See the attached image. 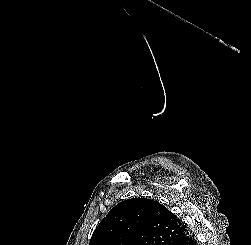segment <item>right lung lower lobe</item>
Masks as SVG:
<instances>
[{
	"label": "right lung lower lobe",
	"instance_id": "obj_1",
	"mask_svg": "<svg viewBox=\"0 0 251 245\" xmlns=\"http://www.w3.org/2000/svg\"><path fill=\"white\" fill-rule=\"evenodd\" d=\"M171 245H197L194 236L187 230V233Z\"/></svg>",
	"mask_w": 251,
	"mask_h": 245
}]
</instances>
